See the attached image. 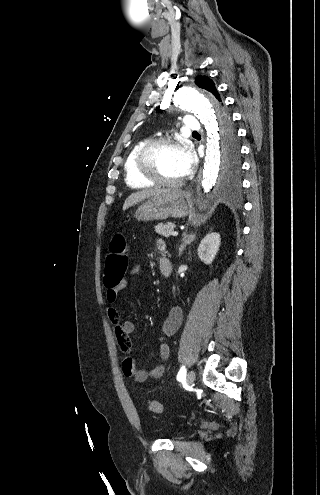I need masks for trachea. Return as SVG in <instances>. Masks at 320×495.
<instances>
[{
  "mask_svg": "<svg viewBox=\"0 0 320 495\" xmlns=\"http://www.w3.org/2000/svg\"><path fill=\"white\" fill-rule=\"evenodd\" d=\"M193 133H194V134H197V132H196V131H194Z\"/></svg>",
  "mask_w": 320,
  "mask_h": 495,
  "instance_id": "3493384b",
  "label": "trachea"
}]
</instances>
